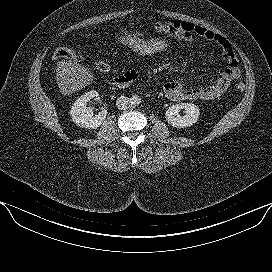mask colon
<instances>
[{
	"label": "colon",
	"mask_w": 272,
	"mask_h": 272,
	"mask_svg": "<svg viewBox=\"0 0 272 272\" xmlns=\"http://www.w3.org/2000/svg\"><path fill=\"white\" fill-rule=\"evenodd\" d=\"M114 41L126 52L139 57H150L168 53L173 47V42L170 39L162 37H128L124 35H116ZM53 56L55 59H80L82 55L76 50L68 47L57 48ZM94 69L98 72H108L109 64L105 60L94 62ZM236 88L239 91H244L245 84L237 83Z\"/></svg>",
	"instance_id": "5ec220e1"
}]
</instances>
